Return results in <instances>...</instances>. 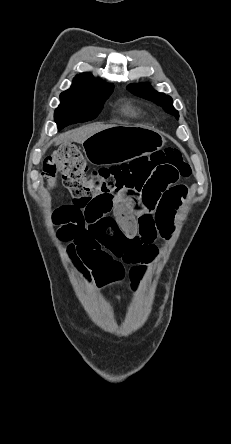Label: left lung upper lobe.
<instances>
[{"instance_id":"1","label":"left lung upper lobe","mask_w":231,"mask_h":444,"mask_svg":"<svg viewBox=\"0 0 231 444\" xmlns=\"http://www.w3.org/2000/svg\"><path fill=\"white\" fill-rule=\"evenodd\" d=\"M127 89L139 97L151 100L162 106L165 111L179 117L178 111L172 105V98L164 93L155 91L149 84L128 85Z\"/></svg>"}]
</instances>
